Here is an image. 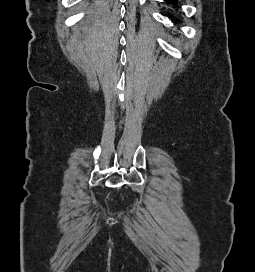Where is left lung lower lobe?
<instances>
[{"mask_svg":"<svg viewBox=\"0 0 255 272\" xmlns=\"http://www.w3.org/2000/svg\"><path fill=\"white\" fill-rule=\"evenodd\" d=\"M165 1H167L169 3H175L176 2V0H165Z\"/></svg>","mask_w":255,"mask_h":272,"instance_id":"1","label":"left lung lower lobe"}]
</instances>
